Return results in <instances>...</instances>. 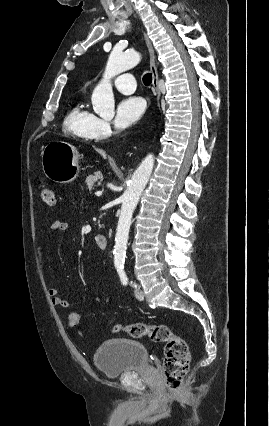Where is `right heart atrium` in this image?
I'll return each instance as SVG.
<instances>
[{"mask_svg": "<svg viewBox=\"0 0 269 426\" xmlns=\"http://www.w3.org/2000/svg\"><path fill=\"white\" fill-rule=\"evenodd\" d=\"M112 134V128L108 121L97 118L94 126V136L97 139L108 138Z\"/></svg>", "mask_w": 269, "mask_h": 426, "instance_id": "d8ad5b80", "label": "right heart atrium"}]
</instances>
